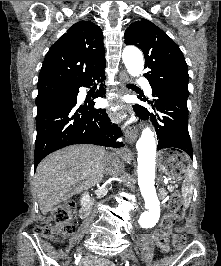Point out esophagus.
<instances>
[{"label": "esophagus", "mask_w": 221, "mask_h": 266, "mask_svg": "<svg viewBox=\"0 0 221 266\" xmlns=\"http://www.w3.org/2000/svg\"><path fill=\"white\" fill-rule=\"evenodd\" d=\"M120 81H121V93L122 94H126L129 92L128 88L126 87V85L129 83V77L127 75L126 72H121L120 73ZM130 110V108H129ZM125 135L126 137L128 138V141L130 143L134 142L137 138V134H136V131L131 129V127H129L128 129H126L125 131Z\"/></svg>", "instance_id": "34e87169"}]
</instances>
